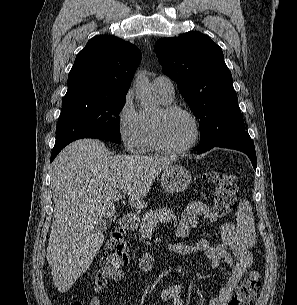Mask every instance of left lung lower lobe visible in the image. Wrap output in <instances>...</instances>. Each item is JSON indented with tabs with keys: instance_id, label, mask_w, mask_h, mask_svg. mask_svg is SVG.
Instances as JSON below:
<instances>
[{
	"instance_id": "1",
	"label": "left lung lower lobe",
	"mask_w": 297,
	"mask_h": 305,
	"mask_svg": "<svg viewBox=\"0 0 297 305\" xmlns=\"http://www.w3.org/2000/svg\"><path fill=\"white\" fill-rule=\"evenodd\" d=\"M207 141L208 140H204L207 145L201 149H198V154L204 153L213 147H223L238 150L244 152L250 158L253 168L256 170L257 158L254 143L245 130L238 131L215 145L209 144Z\"/></svg>"
}]
</instances>
